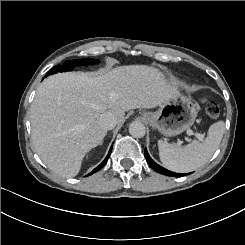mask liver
<instances>
[{
  "mask_svg": "<svg viewBox=\"0 0 245 245\" xmlns=\"http://www.w3.org/2000/svg\"><path fill=\"white\" fill-rule=\"evenodd\" d=\"M178 93L159 69L146 65L97 74L58 73L36 91L30 109L32 140L49 169L74 177L85 154L107 134L98 124L102 113L112 112L120 123L126 111L154 108Z\"/></svg>",
  "mask_w": 245,
  "mask_h": 245,
  "instance_id": "6515ba94",
  "label": "liver"
}]
</instances>
